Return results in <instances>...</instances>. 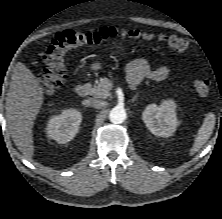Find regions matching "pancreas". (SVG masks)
Listing matches in <instances>:
<instances>
[{"instance_id": "pancreas-1", "label": "pancreas", "mask_w": 222, "mask_h": 219, "mask_svg": "<svg viewBox=\"0 0 222 219\" xmlns=\"http://www.w3.org/2000/svg\"><path fill=\"white\" fill-rule=\"evenodd\" d=\"M111 88L112 84L108 78H100L98 84L91 88L90 94L95 98H107L110 96Z\"/></svg>"}]
</instances>
